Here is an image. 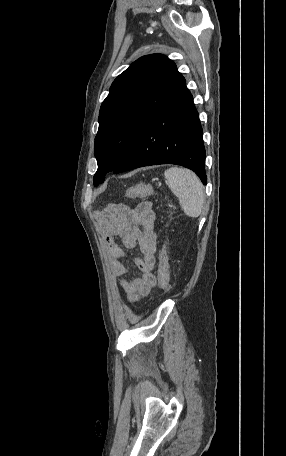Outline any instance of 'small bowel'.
<instances>
[{
    "instance_id": "obj_1",
    "label": "small bowel",
    "mask_w": 286,
    "mask_h": 456,
    "mask_svg": "<svg viewBox=\"0 0 286 456\" xmlns=\"http://www.w3.org/2000/svg\"><path fill=\"white\" fill-rule=\"evenodd\" d=\"M96 220L104 233V246L110 271L117 276H125L127 268L122 263L125 252L117 243L121 238L125 247L138 244L141 257L135 260L140 276L122 278L120 286L130 301L146 296L156 282L153 274L156 252V213L149 202L139 203L133 208L122 204L96 214Z\"/></svg>"
}]
</instances>
